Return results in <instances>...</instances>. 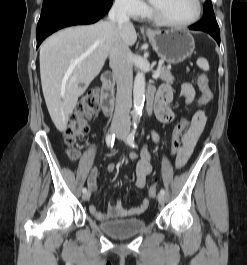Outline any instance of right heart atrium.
Segmentation results:
<instances>
[{"instance_id": "right-heart-atrium-1", "label": "right heart atrium", "mask_w": 247, "mask_h": 265, "mask_svg": "<svg viewBox=\"0 0 247 265\" xmlns=\"http://www.w3.org/2000/svg\"><path fill=\"white\" fill-rule=\"evenodd\" d=\"M115 5L119 11L133 18L146 13V5L142 0H115Z\"/></svg>"}]
</instances>
